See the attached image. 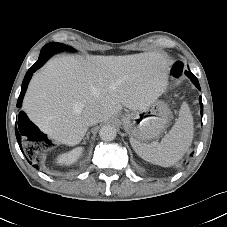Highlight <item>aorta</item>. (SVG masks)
Returning <instances> with one entry per match:
<instances>
[{"label": "aorta", "instance_id": "aorta-1", "mask_svg": "<svg viewBox=\"0 0 227 227\" xmlns=\"http://www.w3.org/2000/svg\"><path fill=\"white\" fill-rule=\"evenodd\" d=\"M116 135H117L116 129L110 125H105L100 128L99 136L103 141L106 142L112 141L115 139Z\"/></svg>", "mask_w": 227, "mask_h": 227}]
</instances>
